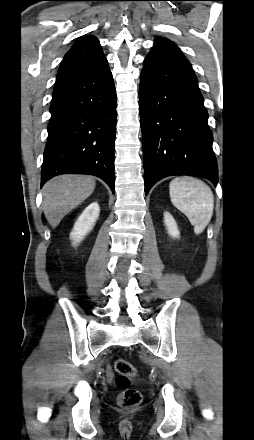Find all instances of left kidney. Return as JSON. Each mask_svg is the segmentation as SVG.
I'll use <instances>...</instances> for the list:
<instances>
[{"mask_svg": "<svg viewBox=\"0 0 254 440\" xmlns=\"http://www.w3.org/2000/svg\"><path fill=\"white\" fill-rule=\"evenodd\" d=\"M164 224L171 237L173 238L179 237V229L177 223L169 212L164 213Z\"/></svg>", "mask_w": 254, "mask_h": 440, "instance_id": "5707ae66", "label": "left kidney"}]
</instances>
